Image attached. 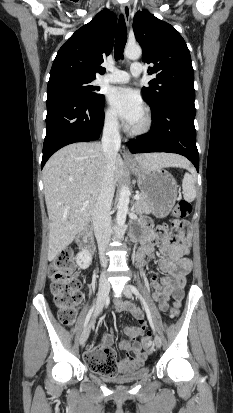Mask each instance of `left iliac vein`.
Here are the masks:
<instances>
[{
	"label": "left iliac vein",
	"instance_id": "obj_1",
	"mask_svg": "<svg viewBox=\"0 0 233 413\" xmlns=\"http://www.w3.org/2000/svg\"><path fill=\"white\" fill-rule=\"evenodd\" d=\"M123 293H124V295H125L127 298H131V297H132V292H131V289H130V287H129L128 285L124 286V288H123ZM154 343H155V345H156L157 348H160L161 345H162L161 337H160L159 335H157V334L155 335Z\"/></svg>",
	"mask_w": 233,
	"mask_h": 413
}]
</instances>
